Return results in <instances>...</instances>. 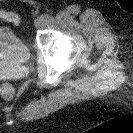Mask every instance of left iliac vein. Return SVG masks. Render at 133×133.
<instances>
[{
	"label": "left iliac vein",
	"instance_id": "obj_1",
	"mask_svg": "<svg viewBox=\"0 0 133 133\" xmlns=\"http://www.w3.org/2000/svg\"><path fill=\"white\" fill-rule=\"evenodd\" d=\"M44 20H43V18L42 17H38L36 20H35V22H34V25H35V27H41L43 24H44Z\"/></svg>",
	"mask_w": 133,
	"mask_h": 133
}]
</instances>
